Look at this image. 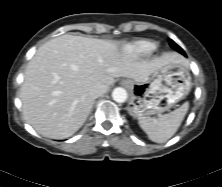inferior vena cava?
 Returning <instances> with one entry per match:
<instances>
[{
	"mask_svg": "<svg viewBox=\"0 0 222 187\" xmlns=\"http://www.w3.org/2000/svg\"><path fill=\"white\" fill-rule=\"evenodd\" d=\"M106 91H107L106 85L101 84V83H97V84L93 85L89 90L90 94L94 98H98V97L102 96Z\"/></svg>",
	"mask_w": 222,
	"mask_h": 187,
	"instance_id": "obj_1",
	"label": "inferior vena cava"
}]
</instances>
